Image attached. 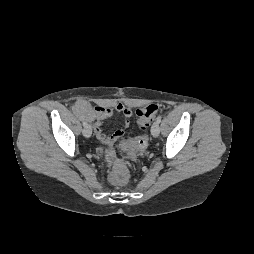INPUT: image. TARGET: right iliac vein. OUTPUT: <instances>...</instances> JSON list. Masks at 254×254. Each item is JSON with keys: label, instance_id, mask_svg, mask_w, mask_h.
Returning <instances> with one entry per match:
<instances>
[{"label": "right iliac vein", "instance_id": "1", "mask_svg": "<svg viewBox=\"0 0 254 254\" xmlns=\"http://www.w3.org/2000/svg\"><path fill=\"white\" fill-rule=\"evenodd\" d=\"M83 135L86 137V138H89L92 134V128L90 125H87L84 127L83 131H82Z\"/></svg>", "mask_w": 254, "mask_h": 254}]
</instances>
